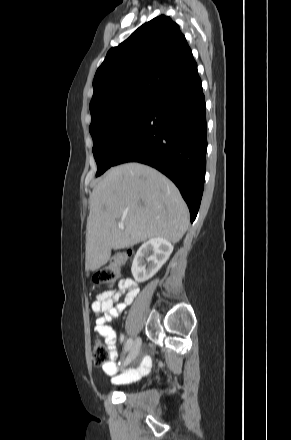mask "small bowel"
Returning <instances> with one entry per match:
<instances>
[{
  "mask_svg": "<svg viewBox=\"0 0 291 440\" xmlns=\"http://www.w3.org/2000/svg\"><path fill=\"white\" fill-rule=\"evenodd\" d=\"M119 290H125L126 295L122 301H119V291L108 290L96 295V299L92 303V311L98 315L94 331L103 336L106 340L107 346L110 350V360L102 364L104 372L111 376V381L114 384H121L127 381L134 380L140 374L147 373L151 367V359L149 357L142 358L137 369H128L119 375H114L116 372V334L110 323L115 321L119 315L130 305L139 293V288L135 282L130 279H122L119 282ZM123 338H121L122 340Z\"/></svg>",
  "mask_w": 291,
  "mask_h": 440,
  "instance_id": "1",
  "label": "small bowel"
}]
</instances>
